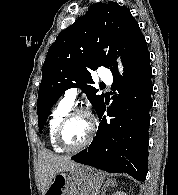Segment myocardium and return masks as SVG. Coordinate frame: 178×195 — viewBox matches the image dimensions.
Masks as SVG:
<instances>
[{"mask_svg": "<svg viewBox=\"0 0 178 195\" xmlns=\"http://www.w3.org/2000/svg\"><path fill=\"white\" fill-rule=\"evenodd\" d=\"M78 116H84L87 117L88 121H89V135L86 138V140L76 146V147H69L67 146L64 141H63V133H64V129L66 127V125L75 117ZM96 134V124L94 121L93 116L91 115V113L86 110V109H82V108H76V109H72L70 110L60 121V123L57 126L56 132H55V141L56 143L65 151L68 152H77V151H81L83 149H85L87 146H89L91 144V142L93 141L94 137Z\"/></svg>", "mask_w": 178, "mask_h": 195, "instance_id": "obj_1", "label": "myocardium"}]
</instances>
